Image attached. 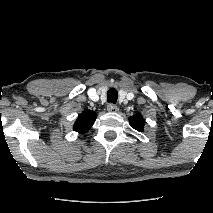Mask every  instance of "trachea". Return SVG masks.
Listing matches in <instances>:
<instances>
[{
  "label": "trachea",
  "mask_w": 213,
  "mask_h": 213,
  "mask_svg": "<svg viewBox=\"0 0 213 213\" xmlns=\"http://www.w3.org/2000/svg\"><path fill=\"white\" fill-rule=\"evenodd\" d=\"M118 99V92L115 88H110L107 92V101L115 104Z\"/></svg>",
  "instance_id": "trachea-1"
}]
</instances>
